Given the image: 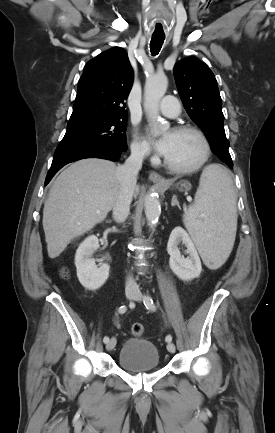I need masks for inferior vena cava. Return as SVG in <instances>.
I'll use <instances>...</instances> for the list:
<instances>
[{"mask_svg": "<svg viewBox=\"0 0 275 433\" xmlns=\"http://www.w3.org/2000/svg\"><path fill=\"white\" fill-rule=\"evenodd\" d=\"M145 151L141 149H132L131 155L125 163L117 168L121 181V187L113 206V218L117 223L124 222L130 212V204L133 198L137 176L142 168V162ZM125 290L137 292L138 285L134 279L129 276L126 280Z\"/></svg>", "mask_w": 275, "mask_h": 433, "instance_id": "602c4592", "label": "inferior vena cava"}]
</instances>
